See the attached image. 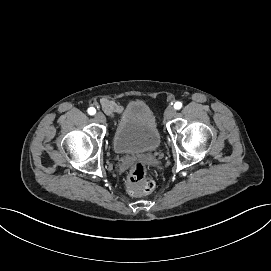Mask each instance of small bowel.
Wrapping results in <instances>:
<instances>
[{"instance_id": "obj_1", "label": "small bowel", "mask_w": 271, "mask_h": 271, "mask_svg": "<svg viewBox=\"0 0 271 271\" xmlns=\"http://www.w3.org/2000/svg\"><path fill=\"white\" fill-rule=\"evenodd\" d=\"M100 104L104 112L109 116L121 114L124 110L122 105L107 98L101 99Z\"/></svg>"}]
</instances>
